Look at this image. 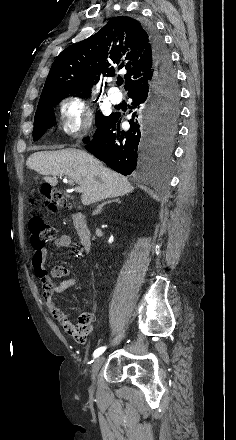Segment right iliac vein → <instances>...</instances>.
<instances>
[{
    "label": "right iliac vein",
    "mask_w": 236,
    "mask_h": 440,
    "mask_svg": "<svg viewBox=\"0 0 236 440\" xmlns=\"http://www.w3.org/2000/svg\"><path fill=\"white\" fill-rule=\"evenodd\" d=\"M103 362H104V356H99L98 358H96V360L92 365L91 377H92L93 385L95 384L96 375L99 369L101 368Z\"/></svg>",
    "instance_id": "63e3f726"
}]
</instances>
